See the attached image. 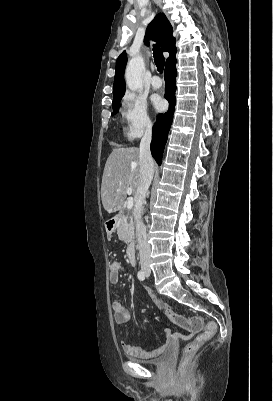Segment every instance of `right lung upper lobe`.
<instances>
[{"label": "right lung upper lobe", "mask_w": 273, "mask_h": 401, "mask_svg": "<svg viewBox=\"0 0 273 401\" xmlns=\"http://www.w3.org/2000/svg\"><path fill=\"white\" fill-rule=\"evenodd\" d=\"M172 26L166 18L165 14L159 13L155 19L149 24L145 35V44L149 45V39L156 40L163 51L170 53L166 64L176 60L175 38L172 36ZM127 63L126 52L123 51L116 61V71L113 86V107L119 106L120 100L125 93L124 70Z\"/></svg>", "instance_id": "cb5924a9"}]
</instances>
